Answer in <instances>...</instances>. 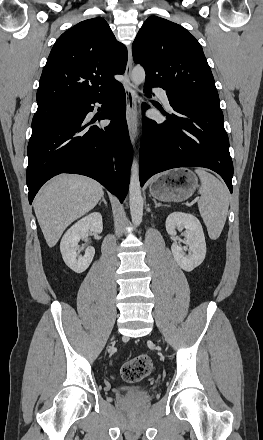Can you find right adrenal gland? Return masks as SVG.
I'll return each mask as SVG.
<instances>
[{
	"mask_svg": "<svg viewBox=\"0 0 263 440\" xmlns=\"http://www.w3.org/2000/svg\"><path fill=\"white\" fill-rule=\"evenodd\" d=\"M104 203L105 205H107V202H106V200H105V197L104 196H102V200L99 202V205H101V203Z\"/></svg>",
	"mask_w": 263,
	"mask_h": 440,
	"instance_id": "1",
	"label": "right adrenal gland"
}]
</instances>
